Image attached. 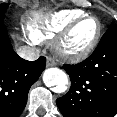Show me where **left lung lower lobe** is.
I'll return each mask as SVG.
<instances>
[{"label": "left lung lower lobe", "instance_id": "left-lung-lower-lobe-1", "mask_svg": "<svg viewBox=\"0 0 117 117\" xmlns=\"http://www.w3.org/2000/svg\"><path fill=\"white\" fill-rule=\"evenodd\" d=\"M70 90L57 99L64 117H114L117 114V25L102 36L86 60L63 66Z\"/></svg>", "mask_w": 117, "mask_h": 117}]
</instances>
